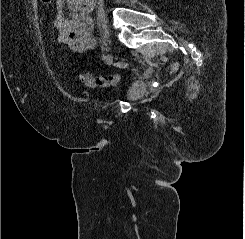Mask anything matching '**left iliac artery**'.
I'll list each match as a JSON object with an SVG mask.
<instances>
[{
  "label": "left iliac artery",
  "instance_id": "1",
  "mask_svg": "<svg viewBox=\"0 0 245 239\" xmlns=\"http://www.w3.org/2000/svg\"><path fill=\"white\" fill-rule=\"evenodd\" d=\"M102 60H106L105 54L102 55Z\"/></svg>",
  "mask_w": 245,
  "mask_h": 239
}]
</instances>
